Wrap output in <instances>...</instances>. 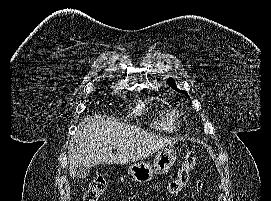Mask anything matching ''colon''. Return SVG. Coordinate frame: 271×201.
Listing matches in <instances>:
<instances>
[{"instance_id":"colon-1","label":"colon","mask_w":271,"mask_h":201,"mask_svg":"<svg viewBox=\"0 0 271 201\" xmlns=\"http://www.w3.org/2000/svg\"><path fill=\"white\" fill-rule=\"evenodd\" d=\"M196 163L197 155L193 151L188 152L185 155L184 161L176 177L168 183L164 198L177 195L182 191L189 183L191 173L194 170ZM106 188L107 180L102 176L96 177L90 182L83 195L82 201H99Z\"/></svg>"}]
</instances>
